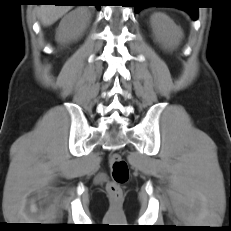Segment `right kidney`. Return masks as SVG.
<instances>
[{"instance_id":"obj_1","label":"right kidney","mask_w":231,"mask_h":231,"mask_svg":"<svg viewBox=\"0 0 231 231\" xmlns=\"http://www.w3.org/2000/svg\"><path fill=\"white\" fill-rule=\"evenodd\" d=\"M90 17L86 7H78L64 16L56 31L57 42L64 44L80 38L89 24Z\"/></svg>"}]
</instances>
